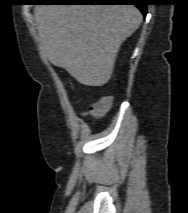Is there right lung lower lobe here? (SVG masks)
<instances>
[{"label": "right lung lower lobe", "instance_id": "1", "mask_svg": "<svg viewBox=\"0 0 188 213\" xmlns=\"http://www.w3.org/2000/svg\"><path fill=\"white\" fill-rule=\"evenodd\" d=\"M44 2L77 4H134L140 9L144 16L147 13L145 0H46Z\"/></svg>", "mask_w": 188, "mask_h": 213}]
</instances>
